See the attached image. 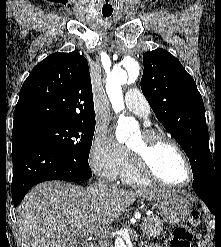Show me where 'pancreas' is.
Returning a JSON list of instances; mask_svg holds the SVG:
<instances>
[{
	"instance_id": "pancreas-1",
	"label": "pancreas",
	"mask_w": 221,
	"mask_h": 247,
	"mask_svg": "<svg viewBox=\"0 0 221 247\" xmlns=\"http://www.w3.org/2000/svg\"><path fill=\"white\" fill-rule=\"evenodd\" d=\"M143 236L147 238H156L163 230L162 221L155 216L145 217L141 225Z\"/></svg>"
}]
</instances>
